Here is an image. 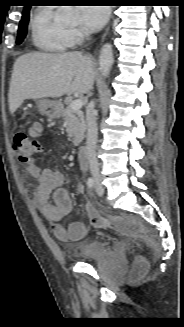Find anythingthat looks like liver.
<instances>
[{
  "mask_svg": "<svg viewBox=\"0 0 184 327\" xmlns=\"http://www.w3.org/2000/svg\"><path fill=\"white\" fill-rule=\"evenodd\" d=\"M94 79V62L81 52L24 54L13 66L8 94L10 113L26 99L86 94L93 88Z\"/></svg>",
  "mask_w": 184,
  "mask_h": 327,
  "instance_id": "liver-1",
  "label": "liver"
}]
</instances>
